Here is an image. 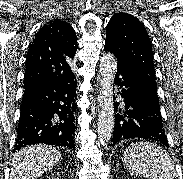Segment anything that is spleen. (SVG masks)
Instances as JSON below:
<instances>
[{"mask_svg":"<svg viewBox=\"0 0 183 179\" xmlns=\"http://www.w3.org/2000/svg\"><path fill=\"white\" fill-rule=\"evenodd\" d=\"M129 173L148 179H175L172 158L166 150L151 142H135L122 156Z\"/></svg>","mask_w":183,"mask_h":179,"instance_id":"1","label":"spleen"}]
</instances>
